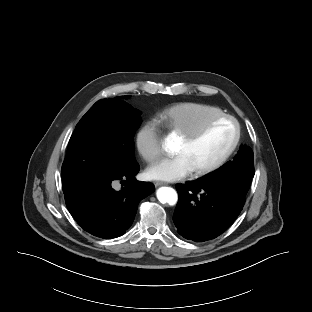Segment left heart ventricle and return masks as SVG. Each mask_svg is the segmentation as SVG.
Listing matches in <instances>:
<instances>
[{"label": "left heart ventricle", "instance_id": "left-heart-ventricle-1", "mask_svg": "<svg viewBox=\"0 0 312 312\" xmlns=\"http://www.w3.org/2000/svg\"><path fill=\"white\" fill-rule=\"evenodd\" d=\"M235 135L234 123L230 120H220L195 142H187L181 138L176 153L185 154L196 170L219 159L230 147Z\"/></svg>", "mask_w": 312, "mask_h": 312}]
</instances>
